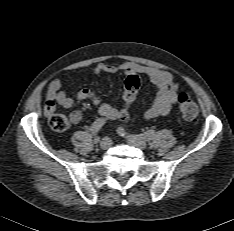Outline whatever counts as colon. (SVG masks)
Listing matches in <instances>:
<instances>
[{"label":"colon","instance_id":"obj_1","mask_svg":"<svg viewBox=\"0 0 234 231\" xmlns=\"http://www.w3.org/2000/svg\"><path fill=\"white\" fill-rule=\"evenodd\" d=\"M142 81L141 75L131 74L127 76L123 91L124 108L119 113L120 120L126 121L129 118V107L135 101ZM177 102L183 118L194 120L198 116V105L188 94L180 93ZM50 125L55 131L62 132L69 128V120L63 114H53L50 117Z\"/></svg>","mask_w":234,"mask_h":231}]
</instances>
